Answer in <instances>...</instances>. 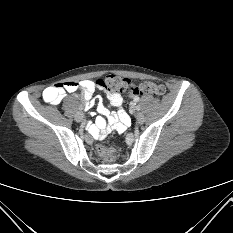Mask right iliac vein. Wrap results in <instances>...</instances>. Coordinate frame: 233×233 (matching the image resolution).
<instances>
[{"label":"right iliac vein","instance_id":"1","mask_svg":"<svg viewBox=\"0 0 233 233\" xmlns=\"http://www.w3.org/2000/svg\"><path fill=\"white\" fill-rule=\"evenodd\" d=\"M75 120L77 122H81L84 120V114L82 112H77L75 115Z\"/></svg>","mask_w":233,"mask_h":233}]
</instances>
